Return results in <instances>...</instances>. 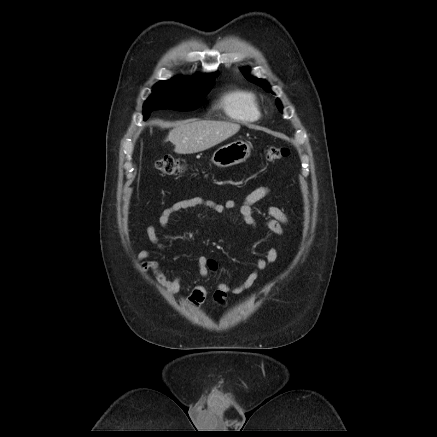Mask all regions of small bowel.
<instances>
[{
	"label": "small bowel",
	"instance_id": "c3829d8e",
	"mask_svg": "<svg viewBox=\"0 0 437 437\" xmlns=\"http://www.w3.org/2000/svg\"><path fill=\"white\" fill-rule=\"evenodd\" d=\"M270 194V188L268 186H260L250 192L242 204H238L234 200H228L224 203H218L213 200L205 199L202 197H192L175 202L171 206L165 208L159 218L158 224L162 228H167L170 223L171 216L181 210H186L195 207H203L211 210L216 214H222L227 210L237 211L242 217L245 224L256 227L259 223L255 217L254 205L267 197ZM267 218L262 221V225L269 231L276 235H282L284 226L287 224V216L282 209L275 206H270L266 210ZM146 235L148 240L157 248L162 249L164 246L160 240L157 232V228L154 225H149L146 228ZM138 260L141 263V267L144 271H151L154 275L156 282L165 288L169 293H178L183 285L181 277L177 276L169 279L160 264L156 260H152L151 251L141 250L137 255ZM278 259V252L275 248H269L264 256L258 258L255 262L254 269L249 273L247 278L237 286H231L228 283L221 282L217 285V289L214 292L213 298L216 303L222 305L225 303L228 293L235 295L242 294L253 286L255 281L259 278L260 274L271 264ZM198 275L202 278H207L210 272L216 271L215 261L206 258L201 255L197 260ZM206 288L202 285L195 286L189 294L187 301L193 306L197 307L202 304L206 298Z\"/></svg>",
	"mask_w": 437,
	"mask_h": 437
}]
</instances>
